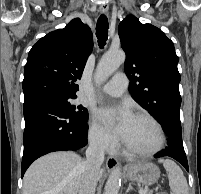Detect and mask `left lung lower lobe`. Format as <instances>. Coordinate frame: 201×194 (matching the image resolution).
Returning <instances> with one entry per match:
<instances>
[{"label":"left lung lower lobe","instance_id":"0a47b994","mask_svg":"<svg viewBox=\"0 0 201 194\" xmlns=\"http://www.w3.org/2000/svg\"><path fill=\"white\" fill-rule=\"evenodd\" d=\"M168 135V146L155 155L156 158L169 156L181 163L188 171V162L182 143L180 115L166 113L159 121Z\"/></svg>","mask_w":201,"mask_h":194}]
</instances>
